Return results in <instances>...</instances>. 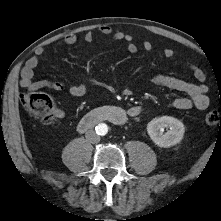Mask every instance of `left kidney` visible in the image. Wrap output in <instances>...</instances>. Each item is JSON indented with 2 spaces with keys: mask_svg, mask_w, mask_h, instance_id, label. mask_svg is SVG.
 Here are the masks:
<instances>
[{
  "mask_svg": "<svg viewBox=\"0 0 221 221\" xmlns=\"http://www.w3.org/2000/svg\"><path fill=\"white\" fill-rule=\"evenodd\" d=\"M168 128L166 133L163 129ZM147 132L151 140L159 147L168 148L178 144L185 133L184 124L171 116L154 118L147 124Z\"/></svg>",
  "mask_w": 221,
  "mask_h": 221,
  "instance_id": "obj_1",
  "label": "left kidney"
}]
</instances>
